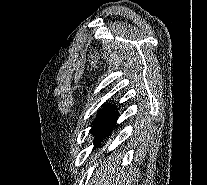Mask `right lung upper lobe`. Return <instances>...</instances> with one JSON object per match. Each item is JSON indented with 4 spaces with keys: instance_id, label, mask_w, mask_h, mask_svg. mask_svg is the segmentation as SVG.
<instances>
[{
    "instance_id": "1",
    "label": "right lung upper lobe",
    "mask_w": 207,
    "mask_h": 185,
    "mask_svg": "<svg viewBox=\"0 0 207 185\" xmlns=\"http://www.w3.org/2000/svg\"><path fill=\"white\" fill-rule=\"evenodd\" d=\"M116 110V107L112 106L111 104H107L104 106V109L101 111H114Z\"/></svg>"
}]
</instances>
